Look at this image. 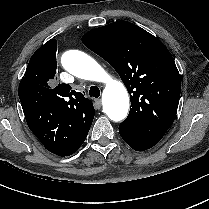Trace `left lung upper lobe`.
Here are the masks:
<instances>
[{"label":"left lung upper lobe","mask_w":209,"mask_h":209,"mask_svg":"<svg viewBox=\"0 0 209 209\" xmlns=\"http://www.w3.org/2000/svg\"><path fill=\"white\" fill-rule=\"evenodd\" d=\"M82 41L119 74L131 99L120 126L159 142L174 122L181 80L174 59L152 34L127 21L87 32Z\"/></svg>","instance_id":"1"}]
</instances>
